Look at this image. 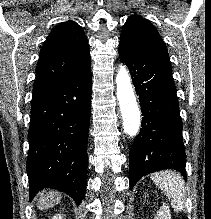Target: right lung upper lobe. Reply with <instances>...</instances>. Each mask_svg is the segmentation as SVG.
I'll return each instance as SVG.
<instances>
[{"label":"right lung upper lobe","mask_w":211,"mask_h":219,"mask_svg":"<svg viewBox=\"0 0 211 219\" xmlns=\"http://www.w3.org/2000/svg\"><path fill=\"white\" fill-rule=\"evenodd\" d=\"M90 61L81 26L74 21L61 23L50 32L40 51L33 94L52 87Z\"/></svg>","instance_id":"cb5924a9"}]
</instances>
